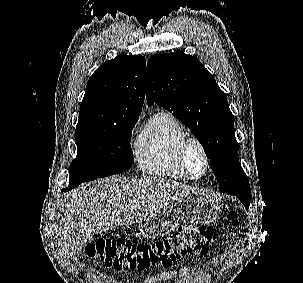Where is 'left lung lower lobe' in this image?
<instances>
[{"label":"left lung lower lobe","instance_id":"obj_1","mask_svg":"<svg viewBox=\"0 0 303 283\" xmlns=\"http://www.w3.org/2000/svg\"><path fill=\"white\" fill-rule=\"evenodd\" d=\"M221 192L228 193V194L238 197L239 200L242 202V204L245 206V208L248 210L249 204H250V199H251L250 195H247L245 193H242V192H239L236 190H224Z\"/></svg>","mask_w":303,"mask_h":283}]
</instances>
